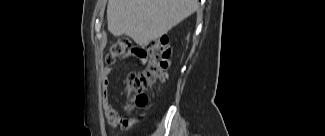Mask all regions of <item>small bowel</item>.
Returning <instances> with one entry per match:
<instances>
[{"label":"small bowel","mask_w":325,"mask_h":136,"mask_svg":"<svg viewBox=\"0 0 325 136\" xmlns=\"http://www.w3.org/2000/svg\"><path fill=\"white\" fill-rule=\"evenodd\" d=\"M129 50L131 51L132 55H135V59L137 60L136 66L137 68H146L147 63V55H148V48L145 47V44H130ZM131 73H127L126 76L123 77L124 86L131 87L130 80H135L137 74V69L133 68L130 71ZM111 73V67H105L103 69V76H102V85H103V95H102V104L105 117L109 124L113 127H125L128 128L133 124V119H127L121 116L116 109L114 108L113 104L111 103L110 99V92H109V76ZM119 86L118 92L124 93L125 87ZM147 99V98H146ZM148 100V99H147ZM146 104H135L137 107H143ZM133 108V107H130Z\"/></svg>","instance_id":"c3829d8e"}]
</instances>
